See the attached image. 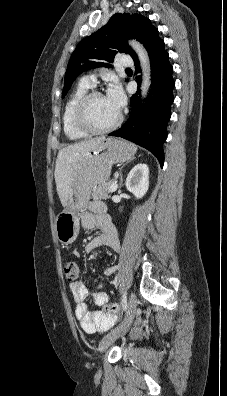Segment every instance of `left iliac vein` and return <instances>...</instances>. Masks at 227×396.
<instances>
[{
	"label": "left iliac vein",
	"instance_id": "4c4485c4",
	"mask_svg": "<svg viewBox=\"0 0 227 396\" xmlns=\"http://www.w3.org/2000/svg\"><path fill=\"white\" fill-rule=\"evenodd\" d=\"M137 307V297L134 292L130 294L126 316L122 324L112 331L110 334L106 335L99 343V351L104 352L114 341H116L120 336L124 335L129 327L131 326Z\"/></svg>",
	"mask_w": 227,
	"mask_h": 396
}]
</instances>
